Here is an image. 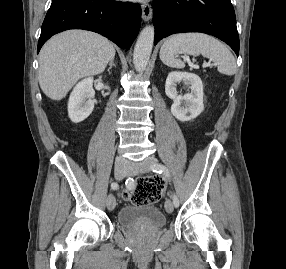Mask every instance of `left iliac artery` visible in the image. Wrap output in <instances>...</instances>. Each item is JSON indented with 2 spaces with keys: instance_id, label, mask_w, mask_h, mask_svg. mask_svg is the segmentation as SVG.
<instances>
[{
  "instance_id": "left-iliac-artery-1",
  "label": "left iliac artery",
  "mask_w": 286,
  "mask_h": 269,
  "mask_svg": "<svg viewBox=\"0 0 286 269\" xmlns=\"http://www.w3.org/2000/svg\"><path fill=\"white\" fill-rule=\"evenodd\" d=\"M151 170L153 172H157V173H164L166 177H168V178L170 177L168 169L165 166H163L162 164L152 165ZM171 197H172L174 206L178 207L179 206V200H178L177 196L175 194H172Z\"/></svg>"
}]
</instances>
